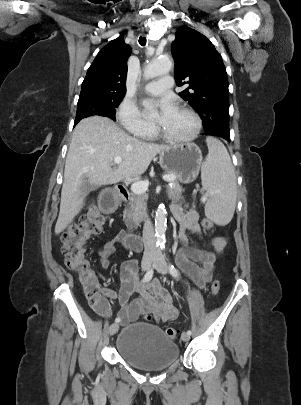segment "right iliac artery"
Here are the masks:
<instances>
[{"mask_svg":"<svg viewBox=\"0 0 301 405\" xmlns=\"http://www.w3.org/2000/svg\"><path fill=\"white\" fill-rule=\"evenodd\" d=\"M152 276H153V269H150V270L145 274V276H144L142 282H149V281L151 280ZM115 322H116V323L120 322V318L117 317V318L115 319Z\"/></svg>","mask_w":301,"mask_h":405,"instance_id":"right-iliac-artery-1","label":"right iliac artery"}]
</instances>
